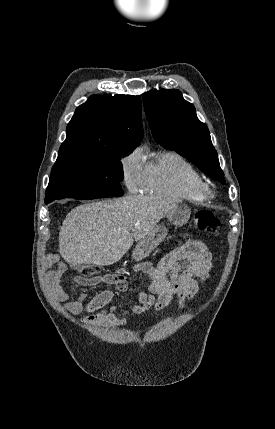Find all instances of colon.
Returning <instances> with one entry per match:
<instances>
[{"instance_id":"colon-1","label":"colon","mask_w":275,"mask_h":429,"mask_svg":"<svg viewBox=\"0 0 275 429\" xmlns=\"http://www.w3.org/2000/svg\"><path fill=\"white\" fill-rule=\"evenodd\" d=\"M194 224L196 228L200 231L206 233H214L218 230L220 226L219 219L212 214L211 212L203 209H199L194 213ZM81 277L86 279H95L98 278V269L92 264L84 263L76 266Z\"/></svg>"}]
</instances>
